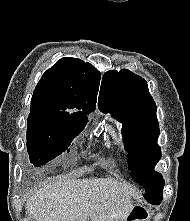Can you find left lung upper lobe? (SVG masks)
Masks as SVG:
<instances>
[{"label":"left lung upper lobe","instance_id":"left-lung-upper-lobe-1","mask_svg":"<svg viewBox=\"0 0 190 221\" xmlns=\"http://www.w3.org/2000/svg\"><path fill=\"white\" fill-rule=\"evenodd\" d=\"M98 107L123 124V141L133 180L145 188L144 198L163 194L164 179L154 171L161 158L157 145L159 126L156 104L146 81L127 69L108 71L102 78Z\"/></svg>","mask_w":190,"mask_h":221}]
</instances>
